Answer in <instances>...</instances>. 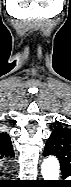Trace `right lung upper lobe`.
I'll return each instance as SVG.
<instances>
[{"instance_id": "1", "label": "right lung upper lobe", "mask_w": 71, "mask_h": 187, "mask_svg": "<svg viewBox=\"0 0 71 187\" xmlns=\"http://www.w3.org/2000/svg\"><path fill=\"white\" fill-rule=\"evenodd\" d=\"M0 156L3 159L14 157L13 146L7 133L0 132Z\"/></svg>"}]
</instances>
